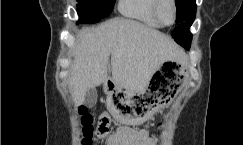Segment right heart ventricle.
Returning <instances> with one entry per match:
<instances>
[{
    "label": "right heart ventricle",
    "instance_id": "1",
    "mask_svg": "<svg viewBox=\"0 0 243 145\" xmlns=\"http://www.w3.org/2000/svg\"><path fill=\"white\" fill-rule=\"evenodd\" d=\"M154 2V0H119L118 9L125 17L153 28H161L163 25L154 15Z\"/></svg>",
    "mask_w": 243,
    "mask_h": 145
}]
</instances>
